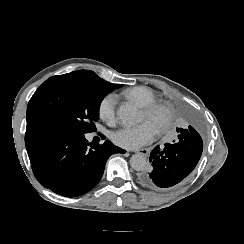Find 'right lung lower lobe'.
<instances>
[{
	"mask_svg": "<svg viewBox=\"0 0 244 244\" xmlns=\"http://www.w3.org/2000/svg\"><path fill=\"white\" fill-rule=\"evenodd\" d=\"M25 144L37 180L65 197L91 190L100 181L109 156L125 153L109 141L93 144L84 134L43 126L27 127Z\"/></svg>",
	"mask_w": 244,
	"mask_h": 244,
	"instance_id": "right-lung-lower-lobe-1",
	"label": "right lung lower lobe"
}]
</instances>
